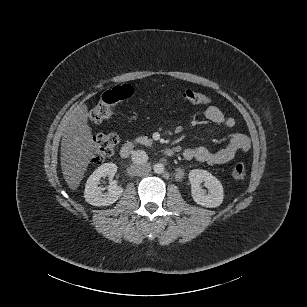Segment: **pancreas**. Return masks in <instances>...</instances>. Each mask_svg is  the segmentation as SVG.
Instances as JSON below:
<instances>
[{
	"label": "pancreas",
	"instance_id": "obj_1",
	"mask_svg": "<svg viewBox=\"0 0 307 307\" xmlns=\"http://www.w3.org/2000/svg\"><path fill=\"white\" fill-rule=\"evenodd\" d=\"M136 141L145 146H151L153 144V140L148 138L147 136L138 137Z\"/></svg>",
	"mask_w": 307,
	"mask_h": 307
}]
</instances>
